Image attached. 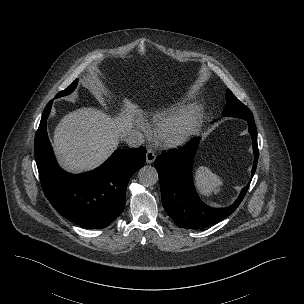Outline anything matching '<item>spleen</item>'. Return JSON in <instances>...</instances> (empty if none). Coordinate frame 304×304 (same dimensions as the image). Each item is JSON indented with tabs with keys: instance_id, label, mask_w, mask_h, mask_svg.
<instances>
[{
	"instance_id": "obj_1",
	"label": "spleen",
	"mask_w": 304,
	"mask_h": 304,
	"mask_svg": "<svg viewBox=\"0 0 304 304\" xmlns=\"http://www.w3.org/2000/svg\"><path fill=\"white\" fill-rule=\"evenodd\" d=\"M194 179L197 191L202 196H210L212 193H218L220 186L223 184L220 177L213 174L206 167L197 168Z\"/></svg>"
}]
</instances>
